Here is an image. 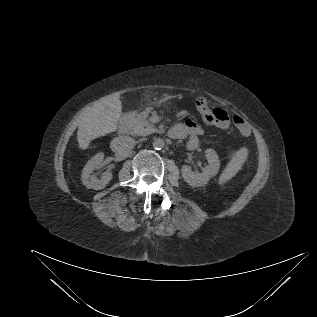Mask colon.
<instances>
[{
    "mask_svg": "<svg viewBox=\"0 0 317 317\" xmlns=\"http://www.w3.org/2000/svg\"><path fill=\"white\" fill-rule=\"evenodd\" d=\"M198 110L201 112L202 118L206 123L222 124L227 117V114L221 109L211 110L206 98H199L196 102Z\"/></svg>",
    "mask_w": 317,
    "mask_h": 317,
    "instance_id": "5ec220e1",
    "label": "colon"
}]
</instances>
